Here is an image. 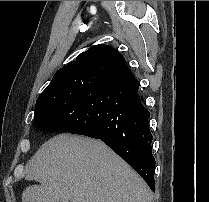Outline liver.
Wrapping results in <instances>:
<instances>
[{
    "instance_id": "liver-1",
    "label": "liver",
    "mask_w": 209,
    "mask_h": 202,
    "mask_svg": "<svg viewBox=\"0 0 209 202\" xmlns=\"http://www.w3.org/2000/svg\"><path fill=\"white\" fill-rule=\"evenodd\" d=\"M22 202H151L145 182L103 142L59 134L26 166Z\"/></svg>"
}]
</instances>
